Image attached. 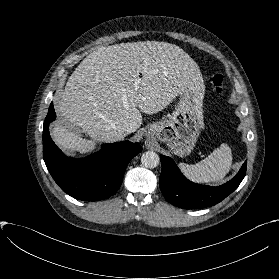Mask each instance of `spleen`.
<instances>
[{
	"label": "spleen",
	"mask_w": 279,
	"mask_h": 279,
	"mask_svg": "<svg viewBox=\"0 0 279 279\" xmlns=\"http://www.w3.org/2000/svg\"><path fill=\"white\" fill-rule=\"evenodd\" d=\"M231 165V148L223 143L200 162L193 165L179 163V168L192 182L211 183L222 180L229 172Z\"/></svg>",
	"instance_id": "3e777b00"
}]
</instances>
